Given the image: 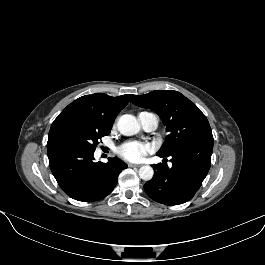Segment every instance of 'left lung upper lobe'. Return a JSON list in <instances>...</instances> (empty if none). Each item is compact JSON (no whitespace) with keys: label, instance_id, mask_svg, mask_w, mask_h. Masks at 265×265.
Returning <instances> with one entry per match:
<instances>
[{"label":"left lung upper lobe","instance_id":"left-lung-upper-lobe-1","mask_svg":"<svg viewBox=\"0 0 265 265\" xmlns=\"http://www.w3.org/2000/svg\"><path fill=\"white\" fill-rule=\"evenodd\" d=\"M131 102L155 111L170 132L159 154L168 155L193 138L212 134L206 116L177 91L156 90L145 95H133Z\"/></svg>","mask_w":265,"mask_h":265}]
</instances>
